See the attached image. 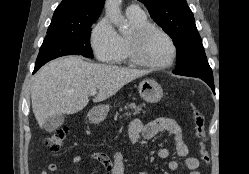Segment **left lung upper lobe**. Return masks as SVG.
I'll return each instance as SVG.
<instances>
[{
	"instance_id": "5c2ea615",
	"label": "left lung upper lobe",
	"mask_w": 249,
	"mask_h": 174,
	"mask_svg": "<svg viewBox=\"0 0 249 174\" xmlns=\"http://www.w3.org/2000/svg\"><path fill=\"white\" fill-rule=\"evenodd\" d=\"M151 18L173 39L177 50L174 74L213 78L192 11L186 0H139Z\"/></svg>"
}]
</instances>
